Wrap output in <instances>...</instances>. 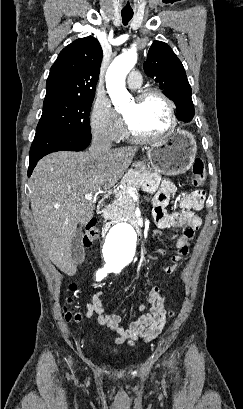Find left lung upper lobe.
<instances>
[{
  "label": "left lung upper lobe",
  "mask_w": 243,
  "mask_h": 409,
  "mask_svg": "<svg viewBox=\"0 0 243 409\" xmlns=\"http://www.w3.org/2000/svg\"><path fill=\"white\" fill-rule=\"evenodd\" d=\"M143 68L146 75L154 78L160 84L162 92L175 102L177 117L190 122L195 113L192 90L184 67L171 47L164 42L153 41Z\"/></svg>",
  "instance_id": "left-lung-upper-lobe-1"
}]
</instances>
